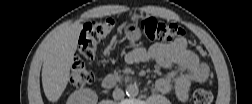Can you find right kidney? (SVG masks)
<instances>
[{"label": "right kidney", "mask_w": 252, "mask_h": 104, "mask_svg": "<svg viewBox=\"0 0 252 104\" xmlns=\"http://www.w3.org/2000/svg\"><path fill=\"white\" fill-rule=\"evenodd\" d=\"M97 94L91 89H80L72 93L68 98V104H96Z\"/></svg>", "instance_id": "right-kidney-1"}]
</instances>
